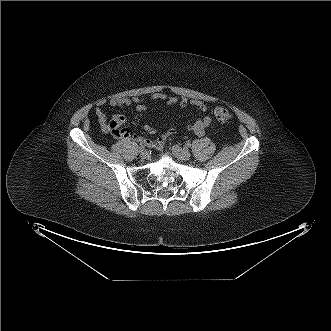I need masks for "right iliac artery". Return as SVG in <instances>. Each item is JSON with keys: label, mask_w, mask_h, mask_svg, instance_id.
Returning <instances> with one entry per match:
<instances>
[{"label": "right iliac artery", "mask_w": 331, "mask_h": 331, "mask_svg": "<svg viewBox=\"0 0 331 331\" xmlns=\"http://www.w3.org/2000/svg\"><path fill=\"white\" fill-rule=\"evenodd\" d=\"M144 148H145V146L144 145H141L140 146V151L143 150Z\"/></svg>", "instance_id": "82829eb1"}]
</instances>
